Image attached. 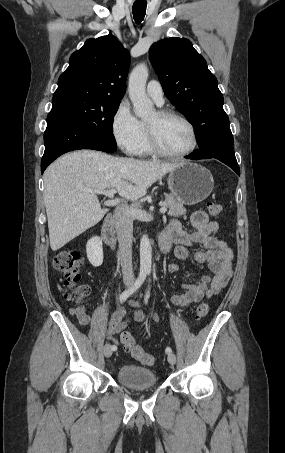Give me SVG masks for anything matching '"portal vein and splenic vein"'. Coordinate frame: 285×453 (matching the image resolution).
Listing matches in <instances>:
<instances>
[{"label":"portal vein and splenic vein","mask_w":285,"mask_h":453,"mask_svg":"<svg viewBox=\"0 0 285 453\" xmlns=\"http://www.w3.org/2000/svg\"><path fill=\"white\" fill-rule=\"evenodd\" d=\"M84 190L87 192H90V193L102 194V195L109 197L111 200L106 203L108 205H116L119 202L118 199H114V194L116 193L115 189L94 190V189H90V188H84ZM166 211H167V207L164 204H162L161 208H160V212L165 213Z\"/></svg>","instance_id":"portal-vein-and-splenic-vein-1"}]
</instances>
